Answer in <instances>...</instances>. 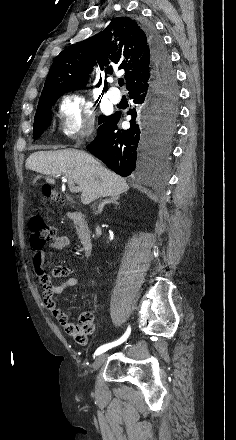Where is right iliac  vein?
<instances>
[{
  "label": "right iliac vein",
  "mask_w": 236,
  "mask_h": 440,
  "mask_svg": "<svg viewBox=\"0 0 236 440\" xmlns=\"http://www.w3.org/2000/svg\"><path fill=\"white\" fill-rule=\"evenodd\" d=\"M106 358H107V354L99 355L93 363V369L95 371L98 370L102 366V364L105 362Z\"/></svg>",
  "instance_id": "63e3f726"
}]
</instances>
